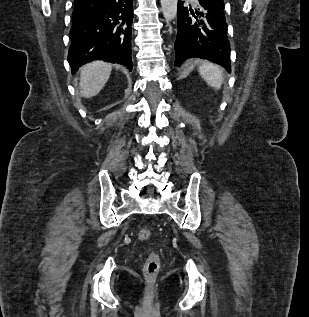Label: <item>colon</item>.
<instances>
[{
    "label": "colon",
    "mask_w": 309,
    "mask_h": 317,
    "mask_svg": "<svg viewBox=\"0 0 309 317\" xmlns=\"http://www.w3.org/2000/svg\"><path fill=\"white\" fill-rule=\"evenodd\" d=\"M138 238L141 241H147L151 237V231L148 228H141L138 231ZM160 268L159 256L155 252H151L143 267L144 277L148 285V295L151 296L153 286Z\"/></svg>",
    "instance_id": "obj_1"
}]
</instances>
